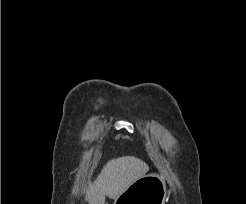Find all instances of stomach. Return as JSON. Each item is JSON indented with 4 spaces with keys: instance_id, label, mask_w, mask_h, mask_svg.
Segmentation results:
<instances>
[{
    "instance_id": "1",
    "label": "stomach",
    "mask_w": 246,
    "mask_h": 204,
    "mask_svg": "<svg viewBox=\"0 0 246 204\" xmlns=\"http://www.w3.org/2000/svg\"><path fill=\"white\" fill-rule=\"evenodd\" d=\"M166 197L165 181L157 174H148L133 182L114 204H164Z\"/></svg>"
}]
</instances>
